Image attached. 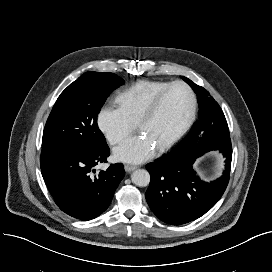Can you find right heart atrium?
Listing matches in <instances>:
<instances>
[{
	"instance_id": "d8ad5b80",
	"label": "right heart atrium",
	"mask_w": 272,
	"mask_h": 272,
	"mask_svg": "<svg viewBox=\"0 0 272 272\" xmlns=\"http://www.w3.org/2000/svg\"><path fill=\"white\" fill-rule=\"evenodd\" d=\"M96 126L112 145L121 143L133 130L131 122L119 107L103 104L96 113Z\"/></svg>"
}]
</instances>
